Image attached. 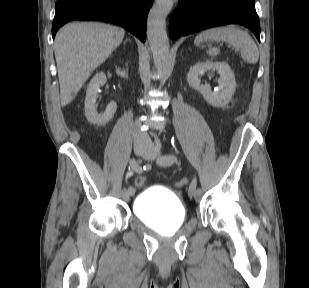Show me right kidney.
Listing matches in <instances>:
<instances>
[{
	"mask_svg": "<svg viewBox=\"0 0 309 288\" xmlns=\"http://www.w3.org/2000/svg\"><path fill=\"white\" fill-rule=\"evenodd\" d=\"M116 73L122 78H128V72L116 68ZM106 75L103 72L97 73L90 81L85 98V116L88 121L95 125H106L114 116L117 110V104L111 102L103 114H98L95 110V103L100 86L106 83Z\"/></svg>",
	"mask_w": 309,
	"mask_h": 288,
	"instance_id": "right-kidney-1",
	"label": "right kidney"
}]
</instances>
